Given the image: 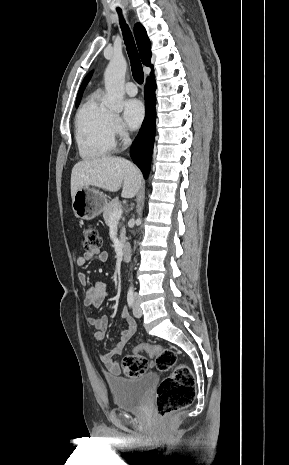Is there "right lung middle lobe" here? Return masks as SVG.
Instances as JSON below:
<instances>
[{
	"mask_svg": "<svg viewBox=\"0 0 289 465\" xmlns=\"http://www.w3.org/2000/svg\"><path fill=\"white\" fill-rule=\"evenodd\" d=\"M79 102H80V101L76 102V106H78Z\"/></svg>",
	"mask_w": 289,
	"mask_h": 465,
	"instance_id": "right-lung-middle-lobe-1",
	"label": "right lung middle lobe"
}]
</instances>
